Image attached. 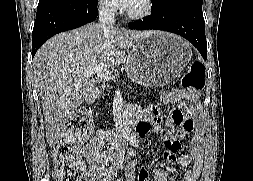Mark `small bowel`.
<instances>
[{
    "instance_id": "1",
    "label": "small bowel",
    "mask_w": 253,
    "mask_h": 181,
    "mask_svg": "<svg viewBox=\"0 0 253 181\" xmlns=\"http://www.w3.org/2000/svg\"><path fill=\"white\" fill-rule=\"evenodd\" d=\"M197 98L196 93L178 89L163 92L160 96L163 104H180L179 109L174 110L166 121L169 131L164 138L163 157L171 163L177 161L182 167H189L192 164L186 171L184 181H198L202 169V140L198 134L191 144L189 154H182L177 158L174 155L180 148L179 139L194 131L193 120L185 116L183 111L187 109L188 114H191V108L196 105ZM133 111L139 119L136 133L140 137L148 133L152 124L158 125L161 122L162 112L158 105L149 108L134 107ZM174 125L179 126L181 130L179 132L173 130ZM117 139V135L113 131L99 130L92 136L88 144L80 147L81 154L89 163L90 174L96 176L99 181H112L117 176L120 162L119 152L102 150L105 144L116 143ZM126 179L127 181L135 179L134 168L131 165L126 168ZM154 180L173 181L163 168L154 172ZM137 181H151L147 167H142L139 170Z\"/></svg>"
}]
</instances>
